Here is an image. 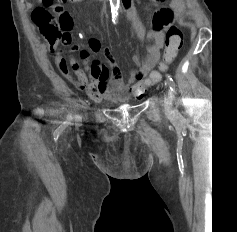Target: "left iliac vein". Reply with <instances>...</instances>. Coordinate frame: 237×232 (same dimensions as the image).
I'll return each mask as SVG.
<instances>
[{
  "mask_svg": "<svg viewBox=\"0 0 237 232\" xmlns=\"http://www.w3.org/2000/svg\"><path fill=\"white\" fill-rule=\"evenodd\" d=\"M165 86L167 88L168 83H165ZM172 101H173V94L170 91V89H167L166 93L164 95V105H165L166 111H168V112L171 111Z\"/></svg>",
  "mask_w": 237,
  "mask_h": 232,
  "instance_id": "4c4485c4",
  "label": "left iliac vein"
}]
</instances>
